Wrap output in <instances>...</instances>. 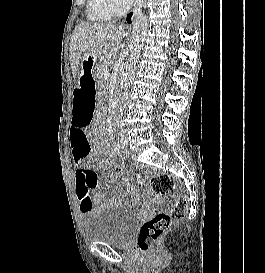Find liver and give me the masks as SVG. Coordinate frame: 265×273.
<instances>
[{"label":"liver","mask_w":265,"mask_h":273,"mask_svg":"<svg viewBox=\"0 0 265 273\" xmlns=\"http://www.w3.org/2000/svg\"><path fill=\"white\" fill-rule=\"evenodd\" d=\"M124 36L123 26L116 27L105 23L78 24L70 40V61L74 78H79L82 61L87 54L100 57L108 51L112 52L120 45Z\"/></svg>","instance_id":"1"}]
</instances>
